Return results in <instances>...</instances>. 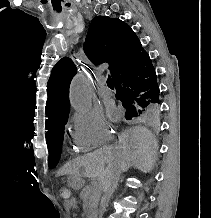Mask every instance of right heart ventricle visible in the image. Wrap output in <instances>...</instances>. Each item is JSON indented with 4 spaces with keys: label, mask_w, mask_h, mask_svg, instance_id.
I'll use <instances>...</instances> for the list:
<instances>
[{
    "label": "right heart ventricle",
    "mask_w": 211,
    "mask_h": 218,
    "mask_svg": "<svg viewBox=\"0 0 211 218\" xmlns=\"http://www.w3.org/2000/svg\"><path fill=\"white\" fill-rule=\"evenodd\" d=\"M69 154H80V149H69Z\"/></svg>",
    "instance_id": "right-heart-ventricle-1"
}]
</instances>
